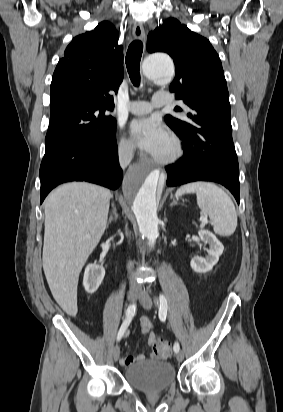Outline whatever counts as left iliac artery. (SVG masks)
<instances>
[{"label": "left iliac artery", "mask_w": 283, "mask_h": 412, "mask_svg": "<svg viewBox=\"0 0 283 412\" xmlns=\"http://www.w3.org/2000/svg\"><path fill=\"white\" fill-rule=\"evenodd\" d=\"M156 301H157V304L159 305V312H158L159 319L162 322H165L166 316H167V310H168L167 300L164 295L160 294L159 299ZM173 350L175 353L179 352L180 346L178 342L174 343Z\"/></svg>", "instance_id": "obj_1"}]
</instances>
